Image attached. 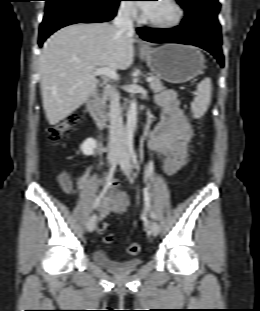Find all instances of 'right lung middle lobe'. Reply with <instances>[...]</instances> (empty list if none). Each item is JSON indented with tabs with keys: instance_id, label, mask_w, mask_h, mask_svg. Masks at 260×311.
Masks as SVG:
<instances>
[{
	"instance_id": "1",
	"label": "right lung middle lobe",
	"mask_w": 260,
	"mask_h": 311,
	"mask_svg": "<svg viewBox=\"0 0 260 311\" xmlns=\"http://www.w3.org/2000/svg\"><path fill=\"white\" fill-rule=\"evenodd\" d=\"M98 1L108 4V5H113L119 0H98Z\"/></svg>"
}]
</instances>
